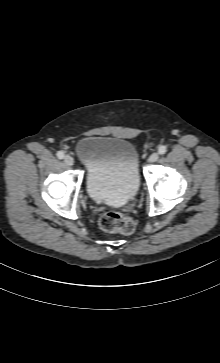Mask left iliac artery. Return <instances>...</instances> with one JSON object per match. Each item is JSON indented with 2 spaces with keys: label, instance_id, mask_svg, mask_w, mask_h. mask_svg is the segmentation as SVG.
I'll return each instance as SVG.
<instances>
[{
  "label": "left iliac artery",
  "instance_id": "obj_1",
  "mask_svg": "<svg viewBox=\"0 0 220 363\" xmlns=\"http://www.w3.org/2000/svg\"><path fill=\"white\" fill-rule=\"evenodd\" d=\"M167 152V147L166 146H160L159 149H158V153L163 155Z\"/></svg>",
  "mask_w": 220,
  "mask_h": 363
}]
</instances>
